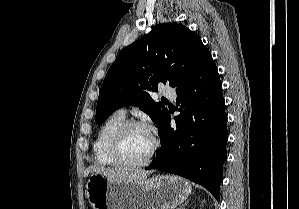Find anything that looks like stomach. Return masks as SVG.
I'll return each instance as SVG.
<instances>
[{
	"label": "stomach",
	"instance_id": "0dacf381",
	"mask_svg": "<svg viewBox=\"0 0 299 209\" xmlns=\"http://www.w3.org/2000/svg\"><path fill=\"white\" fill-rule=\"evenodd\" d=\"M86 189L93 209H173L191 193L187 180L171 175L131 183L93 173Z\"/></svg>",
	"mask_w": 299,
	"mask_h": 209
}]
</instances>
